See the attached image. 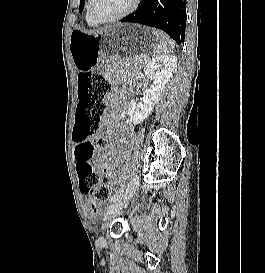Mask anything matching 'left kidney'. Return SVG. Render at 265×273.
Instances as JSON below:
<instances>
[{"mask_svg": "<svg viewBox=\"0 0 265 273\" xmlns=\"http://www.w3.org/2000/svg\"><path fill=\"white\" fill-rule=\"evenodd\" d=\"M176 63L177 58L174 55H161L147 63L144 68V75L149 76L153 82L144 90L142 103L137 105L134 100L129 103L128 115L133 124H140L151 113L172 75Z\"/></svg>", "mask_w": 265, "mask_h": 273, "instance_id": "left-kidney-1", "label": "left kidney"}]
</instances>
